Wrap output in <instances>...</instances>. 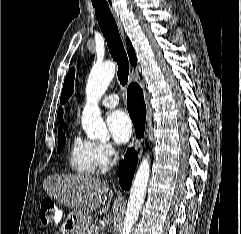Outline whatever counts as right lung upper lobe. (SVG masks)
Instances as JSON below:
<instances>
[{
    "mask_svg": "<svg viewBox=\"0 0 241 234\" xmlns=\"http://www.w3.org/2000/svg\"><path fill=\"white\" fill-rule=\"evenodd\" d=\"M126 43H127V53L129 55L130 62L133 66H135L137 63V59H136L134 48L128 38H126ZM62 115H63V111L61 108H59L58 113H57L58 121L63 128H67V126L64 124ZM60 130L61 129H58V131H60Z\"/></svg>",
    "mask_w": 241,
    "mask_h": 234,
    "instance_id": "1",
    "label": "right lung upper lobe"
}]
</instances>
